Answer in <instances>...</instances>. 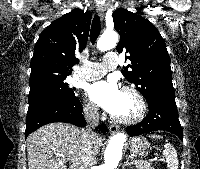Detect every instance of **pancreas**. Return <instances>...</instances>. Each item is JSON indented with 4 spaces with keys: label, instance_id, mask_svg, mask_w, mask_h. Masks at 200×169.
Instances as JSON below:
<instances>
[{
    "label": "pancreas",
    "instance_id": "obj_1",
    "mask_svg": "<svg viewBox=\"0 0 200 169\" xmlns=\"http://www.w3.org/2000/svg\"><path fill=\"white\" fill-rule=\"evenodd\" d=\"M132 164L135 165L136 169H154L150 162L142 161V160H134Z\"/></svg>",
    "mask_w": 200,
    "mask_h": 169
}]
</instances>
